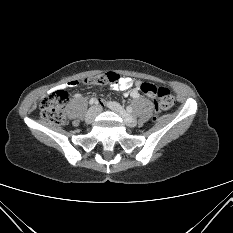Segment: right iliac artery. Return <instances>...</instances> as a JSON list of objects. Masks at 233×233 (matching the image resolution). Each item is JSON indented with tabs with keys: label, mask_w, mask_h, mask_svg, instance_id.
Masks as SVG:
<instances>
[{
	"label": "right iliac artery",
	"mask_w": 233,
	"mask_h": 233,
	"mask_svg": "<svg viewBox=\"0 0 233 233\" xmlns=\"http://www.w3.org/2000/svg\"><path fill=\"white\" fill-rule=\"evenodd\" d=\"M98 102L97 98H91L89 101L90 105L96 104Z\"/></svg>",
	"instance_id": "1"
}]
</instances>
